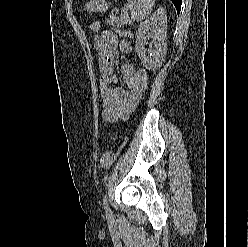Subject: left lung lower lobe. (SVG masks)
Instances as JSON below:
<instances>
[{"label": "left lung lower lobe", "mask_w": 248, "mask_h": 247, "mask_svg": "<svg viewBox=\"0 0 248 247\" xmlns=\"http://www.w3.org/2000/svg\"><path fill=\"white\" fill-rule=\"evenodd\" d=\"M171 1L174 3V5H175V7L177 9V12L179 13L180 9H181L182 0H171Z\"/></svg>", "instance_id": "0a47b994"}]
</instances>
